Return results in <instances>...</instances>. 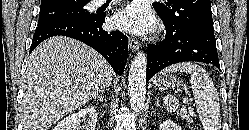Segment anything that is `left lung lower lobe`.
<instances>
[{"label":"left lung lower lobe","mask_w":249,"mask_h":130,"mask_svg":"<svg viewBox=\"0 0 249 130\" xmlns=\"http://www.w3.org/2000/svg\"><path fill=\"white\" fill-rule=\"evenodd\" d=\"M163 23L165 39L148 46L146 81L163 68L185 61L208 63L220 69L213 31L166 21Z\"/></svg>","instance_id":"obj_1"}]
</instances>
